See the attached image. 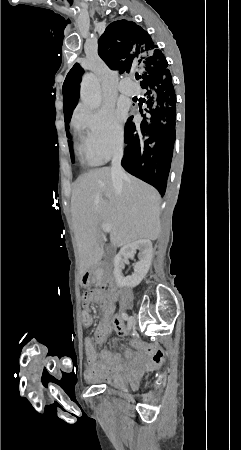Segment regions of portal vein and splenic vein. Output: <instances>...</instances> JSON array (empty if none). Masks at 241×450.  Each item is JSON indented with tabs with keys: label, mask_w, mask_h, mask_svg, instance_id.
Wrapping results in <instances>:
<instances>
[{
	"label": "portal vein and splenic vein",
	"mask_w": 241,
	"mask_h": 450,
	"mask_svg": "<svg viewBox=\"0 0 241 450\" xmlns=\"http://www.w3.org/2000/svg\"><path fill=\"white\" fill-rule=\"evenodd\" d=\"M102 230L103 232H111V228L108 224H102Z\"/></svg>",
	"instance_id": "18ae733b"
}]
</instances>
